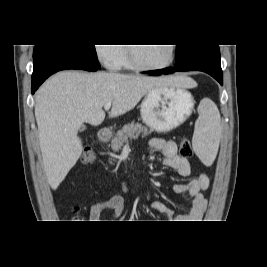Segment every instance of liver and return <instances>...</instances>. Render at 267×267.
I'll list each match as a JSON object with an SVG mask.
<instances>
[{
    "label": "liver",
    "mask_w": 267,
    "mask_h": 267,
    "mask_svg": "<svg viewBox=\"0 0 267 267\" xmlns=\"http://www.w3.org/2000/svg\"><path fill=\"white\" fill-rule=\"evenodd\" d=\"M194 88L185 76L148 77L112 72L62 71L37 91L35 117L40 149L49 185L56 190L83 150L77 136L84 122L100 125L103 106L111 102L109 117L132 110L149 91L159 87Z\"/></svg>",
    "instance_id": "1"
}]
</instances>
